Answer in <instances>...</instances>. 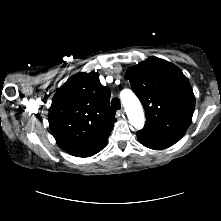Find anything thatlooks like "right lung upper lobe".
<instances>
[{
  "instance_id": "obj_1",
  "label": "right lung upper lobe",
  "mask_w": 221,
  "mask_h": 221,
  "mask_svg": "<svg viewBox=\"0 0 221 221\" xmlns=\"http://www.w3.org/2000/svg\"><path fill=\"white\" fill-rule=\"evenodd\" d=\"M110 90L95 72L69 78L56 92L49 110V125L58 145L77 157H90L107 143L114 123Z\"/></svg>"
}]
</instances>
